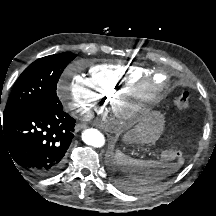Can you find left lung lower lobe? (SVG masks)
Segmentation results:
<instances>
[{
    "mask_svg": "<svg viewBox=\"0 0 216 216\" xmlns=\"http://www.w3.org/2000/svg\"><path fill=\"white\" fill-rule=\"evenodd\" d=\"M115 183L125 190H136L138 186L126 173H114Z\"/></svg>",
    "mask_w": 216,
    "mask_h": 216,
    "instance_id": "1",
    "label": "left lung lower lobe"
}]
</instances>
